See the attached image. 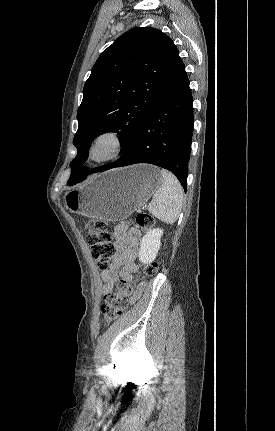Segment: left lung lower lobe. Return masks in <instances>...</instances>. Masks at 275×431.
I'll return each instance as SVG.
<instances>
[{"label":"left lung lower lobe","instance_id":"1","mask_svg":"<svg viewBox=\"0 0 275 431\" xmlns=\"http://www.w3.org/2000/svg\"><path fill=\"white\" fill-rule=\"evenodd\" d=\"M192 104L189 79L180 60L126 153L101 171L136 163H150L174 173L186 191L194 125ZM85 179L86 174H76L68 180V184L74 185Z\"/></svg>","mask_w":275,"mask_h":431}]
</instances>
